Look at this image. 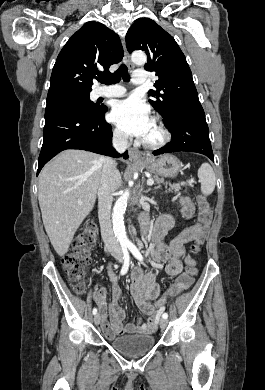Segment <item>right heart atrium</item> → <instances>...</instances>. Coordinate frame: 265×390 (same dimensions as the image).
I'll use <instances>...</instances> for the list:
<instances>
[{
  "label": "right heart atrium",
  "mask_w": 265,
  "mask_h": 390,
  "mask_svg": "<svg viewBox=\"0 0 265 390\" xmlns=\"http://www.w3.org/2000/svg\"><path fill=\"white\" fill-rule=\"evenodd\" d=\"M114 140L118 143H125L126 142V136L118 129H115L113 131Z\"/></svg>",
  "instance_id": "d8ad5b80"
}]
</instances>
